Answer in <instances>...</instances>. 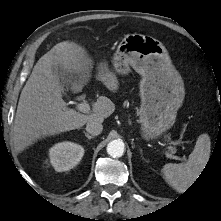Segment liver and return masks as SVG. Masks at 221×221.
Segmentation results:
<instances>
[{
    "label": "liver",
    "mask_w": 221,
    "mask_h": 221,
    "mask_svg": "<svg viewBox=\"0 0 221 221\" xmlns=\"http://www.w3.org/2000/svg\"><path fill=\"white\" fill-rule=\"evenodd\" d=\"M92 63L85 48L72 41L56 44L37 61L22 89L15 115L13 140L18 151L40 138L78 129L93 120L103 122L114 112V103L105 96L98 97L89 115L68 108L62 99L60 76L71 83L73 93L80 92L90 80ZM53 66L60 67V76L54 73ZM98 70L96 79L116 92V75L105 63ZM76 77L78 81L71 80Z\"/></svg>",
    "instance_id": "1"
}]
</instances>
